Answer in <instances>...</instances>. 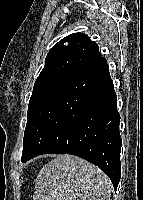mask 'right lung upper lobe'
<instances>
[{
  "label": "right lung upper lobe",
  "mask_w": 143,
  "mask_h": 200,
  "mask_svg": "<svg viewBox=\"0 0 143 200\" xmlns=\"http://www.w3.org/2000/svg\"><path fill=\"white\" fill-rule=\"evenodd\" d=\"M100 59L102 56L95 42L86 34L73 33L56 43L48 52L45 66L37 80L52 76L67 77Z\"/></svg>",
  "instance_id": "obj_1"
}]
</instances>
